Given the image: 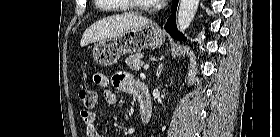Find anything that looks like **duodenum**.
I'll return each instance as SVG.
<instances>
[{
  "mask_svg": "<svg viewBox=\"0 0 280 137\" xmlns=\"http://www.w3.org/2000/svg\"><path fill=\"white\" fill-rule=\"evenodd\" d=\"M137 99L140 106V119L148 124L153 118V106L149 88L146 84L140 83L137 89Z\"/></svg>",
  "mask_w": 280,
  "mask_h": 137,
  "instance_id": "1",
  "label": "duodenum"
}]
</instances>
